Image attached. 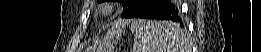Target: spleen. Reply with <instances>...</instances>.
Instances as JSON below:
<instances>
[{
    "label": "spleen",
    "mask_w": 261,
    "mask_h": 52,
    "mask_svg": "<svg viewBox=\"0 0 261 52\" xmlns=\"http://www.w3.org/2000/svg\"><path fill=\"white\" fill-rule=\"evenodd\" d=\"M172 29L170 24L161 21H134L131 24V31L135 34L134 49L137 52H175L181 45V37L177 29L168 35Z\"/></svg>",
    "instance_id": "obj_1"
}]
</instances>
